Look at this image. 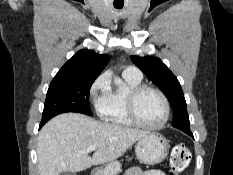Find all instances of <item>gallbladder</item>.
<instances>
[{
  "mask_svg": "<svg viewBox=\"0 0 233 175\" xmlns=\"http://www.w3.org/2000/svg\"><path fill=\"white\" fill-rule=\"evenodd\" d=\"M60 175H76V174L71 173V172H62V173H60Z\"/></svg>",
  "mask_w": 233,
  "mask_h": 175,
  "instance_id": "gallbladder-1",
  "label": "gallbladder"
}]
</instances>
